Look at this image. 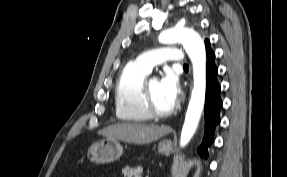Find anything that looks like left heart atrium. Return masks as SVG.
<instances>
[{"mask_svg": "<svg viewBox=\"0 0 287 177\" xmlns=\"http://www.w3.org/2000/svg\"><path fill=\"white\" fill-rule=\"evenodd\" d=\"M160 84L166 96L175 103L179 95L180 87L174 72L171 70L167 71L160 81Z\"/></svg>", "mask_w": 287, "mask_h": 177, "instance_id": "1", "label": "left heart atrium"}]
</instances>
